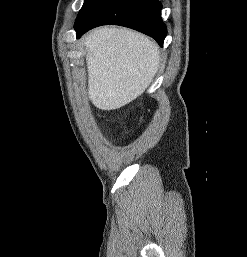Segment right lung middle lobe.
<instances>
[{
    "mask_svg": "<svg viewBox=\"0 0 247 257\" xmlns=\"http://www.w3.org/2000/svg\"><path fill=\"white\" fill-rule=\"evenodd\" d=\"M94 1L95 0H85L83 7L77 16L75 23L79 22L84 17V15L87 13L88 9L91 7V5L94 3Z\"/></svg>",
    "mask_w": 247,
    "mask_h": 257,
    "instance_id": "1",
    "label": "right lung middle lobe"
}]
</instances>
